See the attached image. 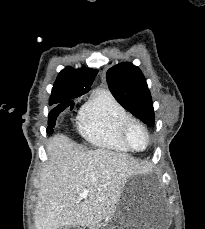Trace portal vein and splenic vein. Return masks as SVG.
<instances>
[{
	"mask_svg": "<svg viewBox=\"0 0 205 229\" xmlns=\"http://www.w3.org/2000/svg\"><path fill=\"white\" fill-rule=\"evenodd\" d=\"M89 194V189H85L82 193L79 194V199H86Z\"/></svg>",
	"mask_w": 205,
	"mask_h": 229,
	"instance_id": "portal-vein-and-splenic-vein-1",
	"label": "portal vein and splenic vein"
}]
</instances>
